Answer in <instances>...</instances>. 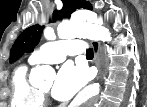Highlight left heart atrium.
<instances>
[{
	"label": "left heart atrium",
	"instance_id": "left-heart-atrium-1",
	"mask_svg": "<svg viewBox=\"0 0 147 107\" xmlns=\"http://www.w3.org/2000/svg\"><path fill=\"white\" fill-rule=\"evenodd\" d=\"M88 81V72L80 65H64L56 78L52 93L61 101L71 99Z\"/></svg>",
	"mask_w": 147,
	"mask_h": 107
}]
</instances>
